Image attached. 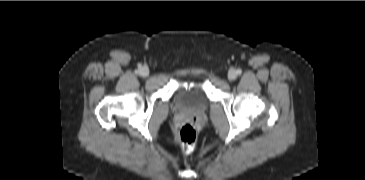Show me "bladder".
Instances as JSON below:
<instances>
[{"label":"bladder","instance_id":"31cf9c89","mask_svg":"<svg viewBox=\"0 0 365 180\" xmlns=\"http://www.w3.org/2000/svg\"><path fill=\"white\" fill-rule=\"evenodd\" d=\"M174 103L182 110H202L208 105V96L201 85H194L180 89L175 95Z\"/></svg>","mask_w":365,"mask_h":180}]
</instances>
